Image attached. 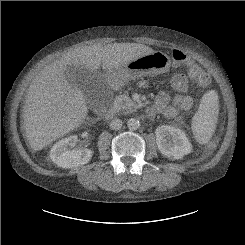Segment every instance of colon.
<instances>
[{
    "label": "colon",
    "mask_w": 245,
    "mask_h": 245,
    "mask_svg": "<svg viewBox=\"0 0 245 245\" xmlns=\"http://www.w3.org/2000/svg\"><path fill=\"white\" fill-rule=\"evenodd\" d=\"M171 56L176 66L183 69L193 70L190 78L194 84L201 87L209 86L211 79L208 73L201 67L195 68L192 59L188 54L180 50H172ZM216 140V137H213L203 146L201 151L202 157H207L212 152V150L215 148Z\"/></svg>",
    "instance_id": "5ec220e1"
}]
</instances>
